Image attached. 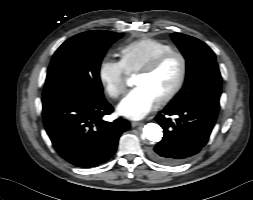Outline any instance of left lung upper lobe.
Returning <instances> with one entry per match:
<instances>
[{
	"instance_id": "5c2ea615",
	"label": "left lung upper lobe",
	"mask_w": 253,
	"mask_h": 200,
	"mask_svg": "<svg viewBox=\"0 0 253 200\" xmlns=\"http://www.w3.org/2000/svg\"><path fill=\"white\" fill-rule=\"evenodd\" d=\"M171 38L186 59L187 74L182 90L168 106H184L201 99L219 101L222 78L214 52L188 35L172 33Z\"/></svg>"
}]
</instances>
